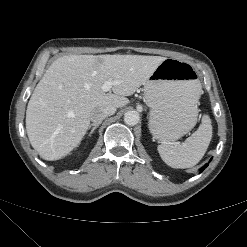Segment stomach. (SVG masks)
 I'll return each mask as SVG.
<instances>
[{
    "label": "stomach",
    "mask_w": 247,
    "mask_h": 247,
    "mask_svg": "<svg viewBox=\"0 0 247 247\" xmlns=\"http://www.w3.org/2000/svg\"><path fill=\"white\" fill-rule=\"evenodd\" d=\"M200 94L201 85L191 64L172 58L159 64L144 84L153 138L167 143L187 134L197 122Z\"/></svg>",
    "instance_id": "stomach-1"
}]
</instances>
